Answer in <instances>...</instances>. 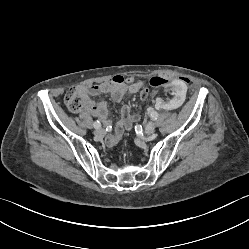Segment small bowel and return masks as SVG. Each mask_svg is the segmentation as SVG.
Masks as SVG:
<instances>
[{"label":"small bowel","instance_id":"1","mask_svg":"<svg viewBox=\"0 0 249 249\" xmlns=\"http://www.w3.org/2000/svg\"><path fill=\"white\" fill-rule=\"evenodd\" d=\"M182 79L185 83L187 80L185 78L177 77ZM169 81V80H167ZM78 90L84 95L86 99L85 110L98 117L105 125H110L111 121L108 117V109L106 102L94 103L89 96L108 94L113 101H121L125 95H133L137 92H143L147 90L142 81H134L132 78L125 79L121 75L114 76L111 80L92 85L79 86ZM148 91V90H147ZM139 119L136 114H131V108L129 105H124L121 108V119L116 125L114 133L106 137V143L108 145L115 144L126 128H130L133 121Z\"/></svg>","mask_w":249,"mask_h":249}]
</instances>
